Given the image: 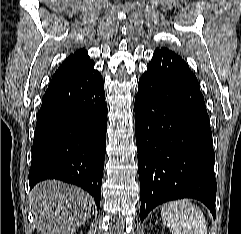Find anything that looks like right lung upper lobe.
Here are the masks:
<instances>
[{
	"label": "right lung upper lobe",
	"instance_id": "1",
	"mask_svg": "<svg viewBox=\"0 0 241 234\" xmlns=\"http://www.w3.org/2000/svg\"><path fill=\"white\" fill-rule=\"evenodd\" d=\"M93 63L94 62L90 60V57L85 49L76 51L62 63V65L53 75L52 80L74 74L82 69H85Z\"/></svg>",
	"mask_w": 241,
	"mask_h": 234
}]
</instances>
